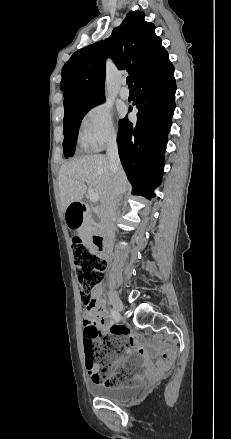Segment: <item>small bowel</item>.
<instances>
[{"label": "small bowel", "mask_w": 231, "mask_h": 439, "mask_svg": "<svg viewBox=\"0 0 231 439\" xmlns=\"http://www.w3.org/2000/svg\"><path fill=\"white\" fill-rule=\"evenodd\" d=\"M99 289L94 292V305L87 307L83 312V344H96L100 339L99 329L109 327L111 333L120 335L127 343L132 347V350L123 358L118 360L113 367L109 370L110 374H113L123 363L127 362L132 355H136L145 363V373L147 376L154 375L158 369H160L165 360H162L160 364L153 363L150 354L146 349L139 345L138 339L133 333L126 327L108 325L107 316L103 309L102 302L98 299Z\"/></svg>", "instance_id": "obj_1"}]
</instances>
